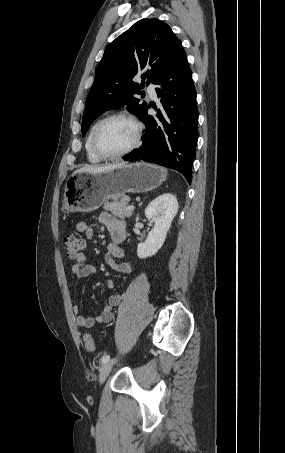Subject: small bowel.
<instances>
[{"label": "small bowel", "instance_id": "1", "mask_svg": "<svg viewBox=\"0 0 285 453\" xmlns=\"http://www.w3.org/2000/svg\"><path fill=\"white\" fill-rule=\"evenodd\" d=\"M98 222L106 227L110 237L108 251L104 256L105 263L119 273H131L133 271V266L130 263L117 262L118 258H122L124 256V252L119 247V244L123 243L126 239V222L117 219L109 213H101L98 217ZM76 229L78 232L84 233L88 238H92L94 233L93 226L85 220L79 221L76 225ZM86 260L87 256L82 252L76 258V262L72 265V273L78 279H84L97 274L95 266L87 263ZM108 286L110 288L114 286L111 280L108 281ZM120 300V295H110L103 311L95 316L80 315L78 305L74 304L72 306V312L75 315V322L77 326L92 328L96 324L109 322L112 318V311L119 304Z\"/></svg>", "mask_w": 285, "mask_h": 453}]
</instances>
